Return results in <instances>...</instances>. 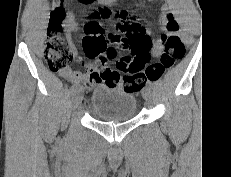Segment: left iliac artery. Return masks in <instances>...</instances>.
Instances as JSON below:
<instances>
[{
	"label": "left iliac artery",
	"instance_id": "left-iliac-artery-1",
	"mask_svg": "<svg viewBox=\"0 0 231 177\" xmlns=\"http://www.w3.org/2000/svg\"><path fill=\"white\" fill-rule=\"evenodd\" d=\"M149 86H150V87H153V83H152V82H149Z\"/></svg>",
	"mask_w": 231,
	"mask_h": 177
}]
</instances>
